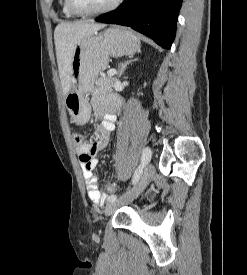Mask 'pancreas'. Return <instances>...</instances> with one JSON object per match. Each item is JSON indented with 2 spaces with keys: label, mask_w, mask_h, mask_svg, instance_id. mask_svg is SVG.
Returning <instances> with one entry per match:
<instances>
[{
  "label": "pancreas",
  "mask_w": 247,
  "mask_h": 275,
  "mask_svg": "<svg viewBox=\"0 0 247 275\" xmlns=\"http://www.w3.org/2000/svg\"><path fill=\"white\" fill-rule=\"evenodd\" d=\"M115 81L114 77H106L104 75H101V77H99L96 82H95V87L93 89V94H100V93H105L108 91L112 90L113 87V83Z\"/></svg>",
  "instance_id": "pancreas-1"
}]
</instances>
